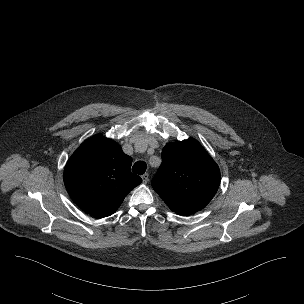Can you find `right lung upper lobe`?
Segmentation results:
<instances>
[{"label":"right lung upper lobe","mask_w":304,"mask_h":304,"mask_svg":"<svg viewBox=\"0 0 304 304\" xmlns=\"http://www.w3.org/2000/svg\"><path fill=\"white\" fill-rule=\"evenodd\" d=\"M132 159L119 144L100 135L84 142L64 170L71 199L85 212L103 218L113 214L142 182L131 172Z\"/></svg>","instance_id":"1"}]
</instances>
